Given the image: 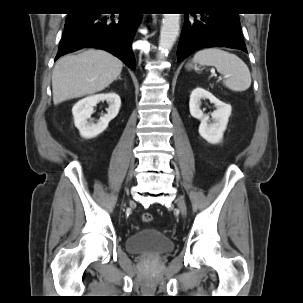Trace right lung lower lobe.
Listing matches in <instances>:
<instances>
[{"instance_id":"obj_1","label":"right lung lower lobe","mask_w":303,"mask_h":303,"mask_svg":"<svg viewBox=\"0 0 303 303\" xmlns=\"http://www.w3.org/2000/svg\"><path fill=\"white\" fill-rule=\"evenodd\" d=\"M141 18L140 13L120 14L119 18H114L113 14L107 16L89 7L70 13L55 60L83 47H95L114 54L135 69L131 43Z\"/></svg>"}]
</instances>
